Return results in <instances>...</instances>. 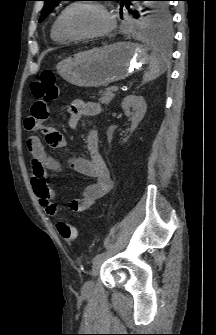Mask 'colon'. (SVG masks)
Segmentation results:
<instances>
[{
    "label": "colon",
    "instance_id": "colon-1",
    "mask_svg": "<svg viewBox=\"0 0 216 335\" xmlns=\"http://www.w3.org/2000/svg\"><path fill=\"white\" fill-rule=\"evenodd\" d=\"M30 89L36 100L38 98H44L46 100L45 104H48L49 108L51 103L57 99L59 93L56 85V76L50 70L42 71L36 80L31 83ZM35 104H37V102ZM56 228L60 236L66 242L73 243L78 240V229L69 221H59Z\"/></svg>",
    "mask_w": 216,
    "mask_h": 335
}]
</instances>
